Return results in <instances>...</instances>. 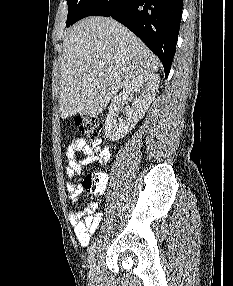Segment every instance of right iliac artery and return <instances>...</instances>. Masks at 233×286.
<instances>
[{
    "label": "right iliac artery",
    "mask_w": 233,
    "mask_h": 286,
    "mask_svg": "<svg viewBox=\"0 0 233 286\" xmlns=\"http://www.w3.org/2000/svg\"><path fill=\"white\" fill-rule=\"evenodd\" d=\"M95 251H96V242L92 244L89 250L88 262L90 266H92V263L94 262Z\"/></svg>",
    "instance_id": "1"
}]
</instances>
